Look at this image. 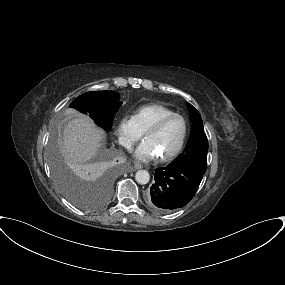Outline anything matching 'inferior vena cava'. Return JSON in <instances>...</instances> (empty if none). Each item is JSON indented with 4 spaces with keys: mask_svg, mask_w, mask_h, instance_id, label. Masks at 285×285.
I'll return each mask as SVG.
<instances>
[{
    "mask_svg": "<svg viewBox=\"0 0 285 285\" xmlns=\"http://www.w3.org/2000/svg\"><path fill=\"white\" fill-rule=\"evenodd\" d=\"M121 145H123L127 149H130L133 145V142L129 138H122Z\"/></svg>",
    "mask_w": 285,
    "mask_h": 285,
    "instance_id": "602c4592",
    "label": "inferior vena cava"
}]
</instances>
